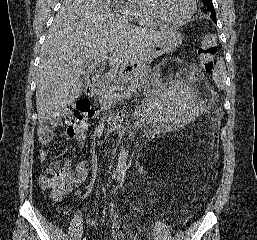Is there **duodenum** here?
I'll return each instance as SVG.
<instances>
[{
    "mask_svg": "<svg viewBox=\"0 0 257 240\" xmlns=\"http://www.w3.org/2000/svg\"><path fill=\"white\" fill-rule=\"evenodd\" d=\"M96 91H97V85H96V83H91V84H89V85L86 87V89H85V93H86L87 96H93V95L96 93ZM119 121H120V118H117V119L114 121V123H113V125H112L113 129H115V128H117V127L119 126Z\"/></svg>",
    "mask_w": 257,
    "mask_h": 240,
    "instance_id": "410a0bca",
    "label": "duodenum"
}]
</instances>
